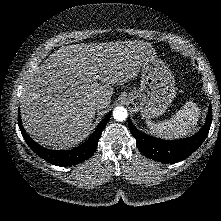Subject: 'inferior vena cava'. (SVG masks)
I'll return each mask as SVG.
<instances>
[{"label":"inferior vena cava","instance_id":"602c4592","mask_svg":"<svg viewBox=\"0 0 221 221\" xmlns=\"http://www.w3.org/2000/svg\"><path fill=\"white\" fill-rule=\"evenodd\" d=\"M105 106V102L102 99H98L93 103L95 109H102Z\"/></svg>","mask_w":221,"mask_h":221}]
</instances>
